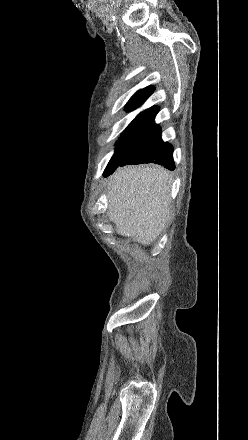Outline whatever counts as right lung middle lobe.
I'll return each mask as SVG.
<instances>
[{
    "mask_svg": "<svg viewBox=\"0 0 248 440\" xmlns=\"http://www.w3.org/2000/svg\"><path fill=\"white\" fill-rule=\"evenodd\" d=\"M134 131H125V133L121 136V138L118 140L117 144L118 146L116 147L115 153L113 155V157L111 158V160L109 161L104 174H111L115 171V169L120 165L122 158H123V153L125 151L127 142L129 137L135 132Z\"/></svg>",
    "mask_w": 248,
    "mask_h": 440,
    "instance_id": "dd1d6c3e",
    "label": "right lung middle lobe"
}]
</instances>
